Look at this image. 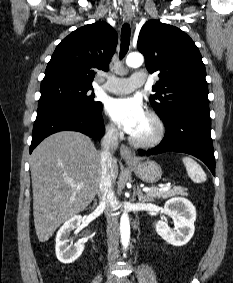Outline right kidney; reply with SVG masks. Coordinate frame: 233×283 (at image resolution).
Returning a JSON list of instances; mask_svg holds the SVG:
<instances>
[{
  "label": "right kidney",
  "mask_w": 233,
  "mask_h": 283,
  "mask_svg": "<svg viewBox=\"0 0 233 283\" xmlns=\"http://www.w3.org/2000/svg\"><path fill=\"white\" fill-rule=\"evenodd\" d=\"M82 216L76 215L68 219L62 227L59 229L56 235V256L58 260L64 264H70L74 262L84 251L85 240H80L77 243H69L70 232L75 229L82 228Z\"/></svg>",
  "instance_id": "1"
}]
</instances>
